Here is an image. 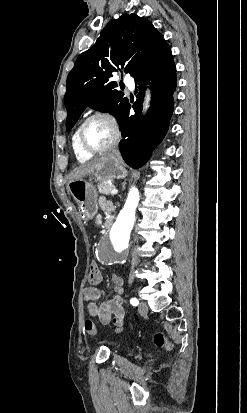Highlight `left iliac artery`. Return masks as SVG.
Listing matches in <instances>:
<instances>
[{
  "label": "left iliac artery",
  "instance_id": "1",
  "mask_svg": "<svg viewBox=\"0 0 247 413\" xmlns=\"http://www.w3.org/2000/svg\"><path fill=\"white\" fill-rule=\"evenodd\" d=\"M130 303H131L133 306H137V305L139 304V301H138V299H136V298H132V299L130 300Z\"/></svg>",
  "mask_w": 247,
  "mask_h": 413
}]
</instances>
